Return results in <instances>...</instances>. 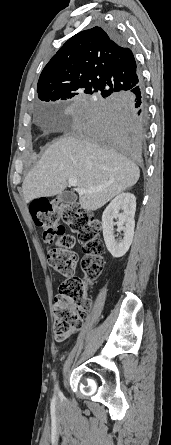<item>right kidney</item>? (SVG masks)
<instances>
[{
    "label": "right kidney",
    "instance_id": "1",
    "mask_svg": "<svg viewBox=\"0 0 171 445\" xmlns=\"http://www.w3.org/2000/svg\"><path fill=\"white\" fill-rule=\"evenodd\" d=\"M123 209V213H119ZM136 198L131 193L117 195L106 207L102 215L103 237L108 251L114 258H120L126 254L133 241ZM118 218L119 232L123 231V238L117 242L114 235V219ZM125 225V226H124Z\"/></svg>",
    "mask_w": 171,
    "mask_h": 445
}]
</instances>
